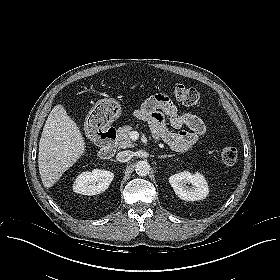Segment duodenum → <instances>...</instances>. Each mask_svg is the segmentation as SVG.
Returning a JSON list of instances; mask_svg holds the SVG:
<instances>
[{"label":"duodenum","instance_id":"duodenum-1","mask_svg":"<svg viewBox=\"0 0 280 280\" xmlns=\"http://www.w3.org/2000/svg\"><path fill=\"white\" fill-rule=\"evenodd\" d=\"M98 140L101 142L99 156L102 159H110L115 153V141L117 139V128L109 125L98 132Z\"/></svg>","mask_w":280,"mask_h":280}]
</instances>
